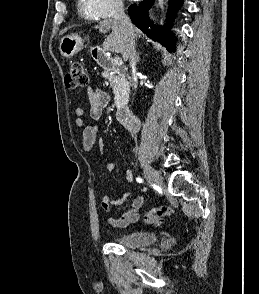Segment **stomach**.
<instances>
[{
    "label": "stomach",
    "mask_w": 259,
    "mask_h": 294,
    "mask_svg": "<svg viewBox=\"0 0 259 294\" xmlns=\"http://www.w3.org/2000/svg\"><path fill=\"white\" fill-rule=\"evenodd\" d=\"M83 49V39L77 33L64 36L59 45L62 56L71 58Z\"/></svg>",
    "instance_id": "stomach-1"
}]
</instances>
